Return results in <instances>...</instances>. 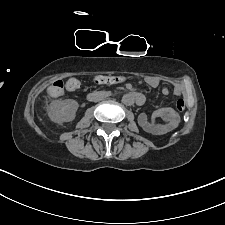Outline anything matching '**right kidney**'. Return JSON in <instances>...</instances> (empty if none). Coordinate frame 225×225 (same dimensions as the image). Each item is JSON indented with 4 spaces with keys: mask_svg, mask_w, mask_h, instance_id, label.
<instances>
[{
    "mask_svg": "<svg viewBox=\"0 0 225 225\" xmlns=\"http://www.w3.org/2000/svg\"><path fill=\"white\" fill-rule=\"evenodd\" d=\"M78 106L77 101L72 99L54 100L50 104L48 116L51 121L58 124L69 122L75 118Z\"/></svg>",
    "mask_w": 225,
    "mask_h": 225,
    "instance_id": "right-kidney-1",
    "label": "right kidney"
}]
</instances>
